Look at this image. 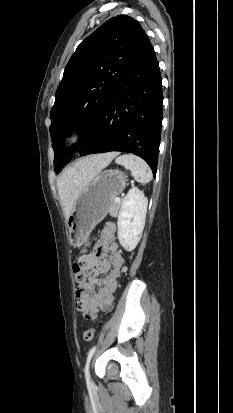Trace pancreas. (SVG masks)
Instances as JSON below:
<instances>
[{
  "label": "pancreas",
  "mask_w": 233,
  "mask_h": 413,
  "mask_svg": "<svg viewBox=\"0 0 233 413\" xmlns=\"http://www.w3.org/2000/svg\"><path fill=\"white\" fill-rule=\"evenodd\" d=\"M120 206H121V202H115V201H113V202L111 203L110 207H109V214H110L112 217H116L117 214H118V211H119V209H120Z\"/></svg>",
  "instance_id": "1"
}]
</instances>
